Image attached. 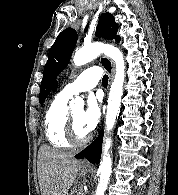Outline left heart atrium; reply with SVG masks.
I'll return each mask as SVG.
<instances>
[{
    "label": "left heart atrium",
    "instance_id": "39dd6f15",
    "mask_svg": "<svg viewBox=\"0 0 178 195\" xmlns=\"http://www.w3.org/2000/svg\"><path fill=\"white\" fill-rule=\"evenodd\" d=\"M100 117L99 104L95 98L88 100L87 108L82 118V126L86 133H90L97 125Z\"/></svg>",
    "mask_w": 178,
    "mask_h": 195
}]
</instances>
